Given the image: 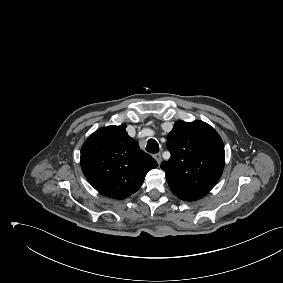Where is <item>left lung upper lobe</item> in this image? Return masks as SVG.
Wrapping results in <instances>:
<instances>
[{
  "mask_svg": "<svg viewBox=\"0 0 283 283\" xmlns=\"http://www.w3.org/2000/svg\"><path fill=\"white\" fill-rule=\"evenodd\" d=\"M168 161L161 163L172 193L183 201H197L219 181L225 161L218 133L203 121L175 123L167 136Z\"/></svg>",
  "mask_w": 283,
  "mask_h": 283,
  "instance_id": "1",
  "label": "left lung upper lobe"
}]
</instances>
